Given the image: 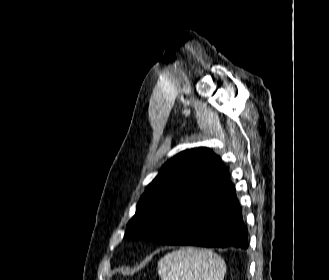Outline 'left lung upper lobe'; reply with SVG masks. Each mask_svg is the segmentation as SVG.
Returning a JSON list of instances; mask_svg holds the SVG:
<instances>
[{
	"instance_id": "1",
	"label": "left lung upper lobe",
	"mask_w": 329,
	"mask_h": 280,
	"mask_svg": "<svg viewBox=\"0 0 329 280\" xmlns=\"http://www.w3.org/2000/svg\"><path fill=\"white\" fill-rule=\"evenodd\" d=\"M226 175L220 157L207 148L177 154L146 188L127 224L125 237L170 244L169 239L161 238L162 229L172 225L184 208L207 189L220 186Z\"/></svg>"
}]
</instances>
